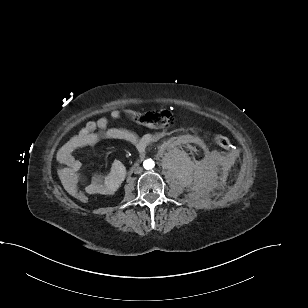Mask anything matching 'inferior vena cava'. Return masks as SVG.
<instances>
[{"mask_svg": "<svg viewBox=\"0 0 308 308\" xmlns=\"http://www.w3.org/2000/svg\"><path fill=\"white\" fill-rule=\"evenodd\" d=\"M142 171H143V169L141 167H137V168H135L134 173L140 174Z\"/></svg>", "mask_w": 308, "mask_h": 308, "instance_id": "602c4592", "label": "inferior vena cava"}]
</instances>
